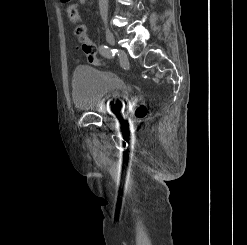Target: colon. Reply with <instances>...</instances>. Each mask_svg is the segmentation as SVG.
Masks as SVG:
<instances>
[{
	"label": "colon",
	"instance_id": "1",
	"mask_svg": "<svg viewBox=\"0 0 247 245\" xmlns=\"http://www.w3.org/2000/svg\"><path fill=\"white\" fill-rule=\"evenodd\" d=\"M62 3L67 4L66 13L71 21L77 23L75 28V34L81 42L82 50L88 56L89 61L94 65H102L103 62L96 57L95 45L86 37V28L83 24H80V14L77 7L74 4H70V0H61ZM136 117L143 118L146 115V109L144 106H140L136 112Z\"/></svg>",
	"mask_w": 247,
	"mask_h": 245
}]
</instances>
